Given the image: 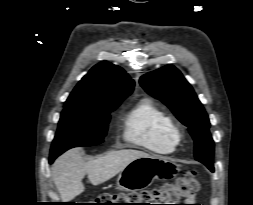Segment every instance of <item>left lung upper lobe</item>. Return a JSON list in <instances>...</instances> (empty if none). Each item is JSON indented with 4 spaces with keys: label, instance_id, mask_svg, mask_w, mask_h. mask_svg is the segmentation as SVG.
<instances>
[{
    "label": "left lung upper lobe",
    "instance_id": "1",
    "mask_svg": "<svg viewBox=\"0 0 253 205\" xmlns=\"http://www.w3.org/2000/svg\"><path fill=\"white\" fill-rule=\"evenodd\" d=\"M140 84L147 93L167 105L189 128L195 141V159L213 171L214 142L209 132V118L181 72L174 66L167 65L143 75Z\"/></svg>",
    "mask_w": 253,
    "mask_h": 205
}]
</instances>
